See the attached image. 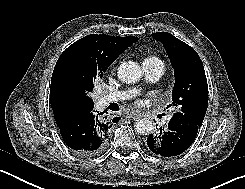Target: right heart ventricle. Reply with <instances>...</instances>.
<instances>
[{
    "label": "right heart ventricle",
    "instance_id": "obj_1",
    "mask_svg": "<svg viewBox=\"0 0 245 189\" xmlns=\"http://www.w3.org/2000/svg\"><path fill=\"white\" fill-rule=\"evenodd\" d=\"M144 61H147V62H162L157 56H154V55H149V56L145 57Z\"/></svg>",
    "mask_w": 245,
    "mask_h": 189
}]
</instances>
